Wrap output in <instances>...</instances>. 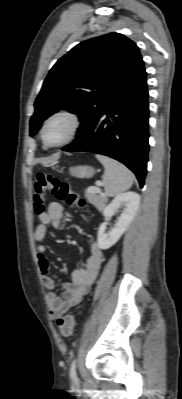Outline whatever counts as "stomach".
Listing matches in <instances>:
<instances>
[{"label": "stomach", "mask_w": 182, "mask_h": 399, "mask_svg": "<svg viewBox=\"0 0 182 399\" xmlns=\"http://www.w3.org/2000/svg\"><path fill=\"white\" fill-rule=\"evenodd\" d=\"M69 173L78 178H89L94 174V168L88 165H79L71 167Z\"/></svg>", "instance_id": "obj_1"}]
</instances>
